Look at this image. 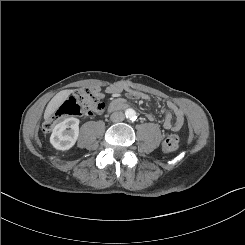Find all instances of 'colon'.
<instances>
[{
    "label": "colon",
    "mask_w": 245,
    "mask_h": 245,
    "mask_svg": "<svg viewBox=\"0 0 245 245\" xmlns=\"http://www.w3.org/2000/svg\"><path fill=\"white\" fill-rule=\"evenodd\" d=\"M105 104L103 95L97 87H84L74 92L67 98L46 120L44 129L51 131L56 124L67 117L84 116L91 117L103 112ZM179 147V137L176 134L167 136L163 143L162 149L166 153H172Z\"/></svg>",
    "instance_id": "5ec220e1"
}]
</instances>
